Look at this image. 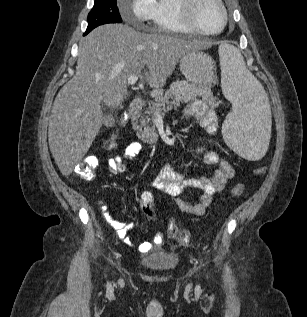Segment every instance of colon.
Returning <instances> with one entry per match:
<instances>
[{"instance_id": "obj_1", "label": "colon", "mask_w": 307, "mask_h": 317, "mask_svg": "<svg viewBox=\"0 0 307 317\" xmlns=\"http://www.w3.org/2000/svg\"><path fill=\"white\" fill-rule=\"evenodd\" d=\"M128 120L123 116L119 122L120 127L126 126ZM118 133H114L104 144L106 150L113 149L117 144ZM98 167V160L95 156L85 157L76 166V172L88 179H92L96 175ZM260 175L265 172V166H259L254 171ZM245 186L241 183L234 185L231 189V194L234 197H239L243 194ZM140 206L146 217L152 221L156 220V213L154 210V197L150 192H143L140 195ZM168 234L178 238L183 244H188L191 239V234L187 230L180 229L174 220H170L168 224Z\"/></svg>"}]
</instances>
